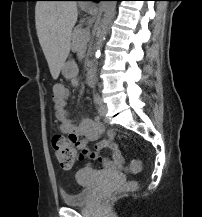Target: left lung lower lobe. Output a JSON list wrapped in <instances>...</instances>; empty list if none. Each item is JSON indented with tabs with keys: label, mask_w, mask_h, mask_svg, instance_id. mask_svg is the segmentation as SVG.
Returning a JSON list of instances; mask_svg holds the SVG:
<instances>
[{
	"label": "left lung lower lobe",
	"mask_w": 202,
	"mask_h": 217,
	"mask_svg": "<svg viewBox=\"0 0 202 217\" xmlns=\"http://www.w3.org/2000/svg\"><path fill=\"white\" fill-rule=\"evenodd\" d=\"M100 1H103V0H100ZM116 1H121V0H116Z\"/></svg>",
	"instance_id": "left-lung-lower-lobe-1"
}]
</instances>
